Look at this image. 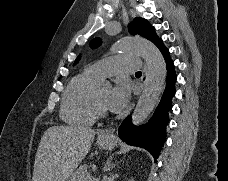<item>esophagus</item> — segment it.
<instances>
[{
    "label": "esophagus",
    "mask_w": 228,
    "mask_h": 181,
    "mask_svg": "<svg viewBox=\"0 0 228 181\" xmlns=\"http://www.w3.org/2000/svg\"><path fill=\"white\" fill-rule=\"evenodd\" d=\"M143 73H144V78H146V76L148 74V68L146 65L144 66ZM142 86L145 87V80L143 81ZM115 134H116V128H114V127L107 128L106 130H104L100 133L101 136H115Z\"/></svg>",
    "instance_id": "1"
}]
</instances>
